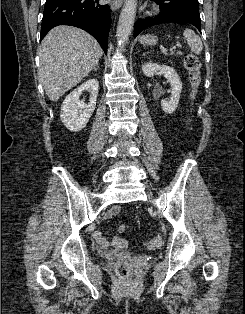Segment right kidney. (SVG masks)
I'll use <instances>...</instances> for the list:
<instances>
[{
    "label": "right kidney",
    "mask_w": 245,
    "mask_h": 314,
    "mask_svg": "<svg viewBox=\"0 0 245 314\" xmlns=\"http://www.w3.org/2000/svg\"><path fill=\"white\" fill-rule=\"evenodd\" d=\"M99 83L97 79H90L72 91L61 106V120L66 128L72 132L81 131L88 123L94 112ZM90 92L89 103L79 100L83 91Z\"/></svg>",
    "instance_id": "obj_1"
}]
</instances>
